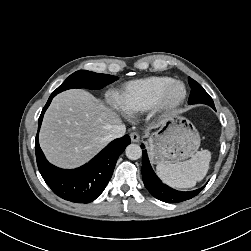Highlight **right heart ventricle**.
<instances>
[{
  "label": "right heart ventricle",
  "mask_w": 251,
  "mask_h": 251,
  "mask_svg": "<svg viewBox=\"0 0 251 251\" xmlns=\"http://www.w3.org/2000/svg\"><path fill=\"white\" fill-rule=\"evenodd\" d=\"M174 79L151 76L129 82L117 97V104L126 114L136 115L152 109L162 89Z\"/></svg>",
  "instance_id": "1"
}]
</instances>
